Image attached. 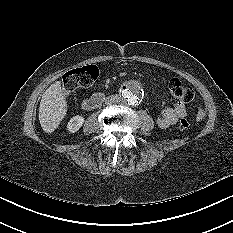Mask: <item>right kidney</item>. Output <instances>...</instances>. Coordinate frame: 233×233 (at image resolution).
Instances as JSON below:
<instances>
[{
    "label": "right kidney",
    "mask_w": 233,
    "mask_h": 233,
    "mask_svg": "<svg viewBox=\"0 0 233 233\" xmlns=\"http://www.w3.org/2000/svg\"><path fill=\"white\" fill-rule=\"evenodd\" d=\"M83 123L84 117L76 115L69 120L67 128L71 133H75L82 127Z\"/></svg>",
    "instance_id": "obj_1"
}]
</instances>
